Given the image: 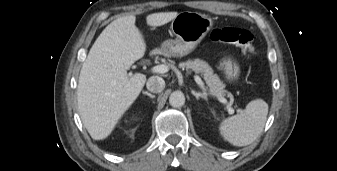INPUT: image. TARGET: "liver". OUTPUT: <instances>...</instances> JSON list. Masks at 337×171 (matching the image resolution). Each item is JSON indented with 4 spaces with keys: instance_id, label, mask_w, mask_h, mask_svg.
<instances>
[{
    "instance_id": "obj_1",
    "label": "liver",
    "mask_w": 337,
    "mask_h": 171,
    "mask_svg": "<svg viewBox=\"0 0 337 171\" xmlns=\"http://www.w3.org/2000/svg\"><path fill=\"white\" fill-rule=\"evenodd\" d=\"M177 15V12L153 13L146 17V22L149 26H162ZM135 21L134 15L112 21L96 39L82 65L77 104L81 120L94 140L111 134L146 83L144 74H127L146 51Z\"/></svg>"
}]
</instances>
